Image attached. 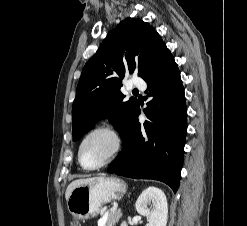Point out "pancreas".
<instances>
[{"mask_svg":"<svg viewBox=\"0 0 247 226\" xmlns=\"http://www.w3.org/2000/svg\"><path fill=\"white\" fill-rule=\"evenodd\" d=\"M118 219H119V212L114 211L109 215L108 220H107V224L109 225L111 223H115L118 221Z\"/></svg>","mask_w":247,"mask_h":226,"instance_id":"obj_1","label":"pancreas"}]
</instances>
